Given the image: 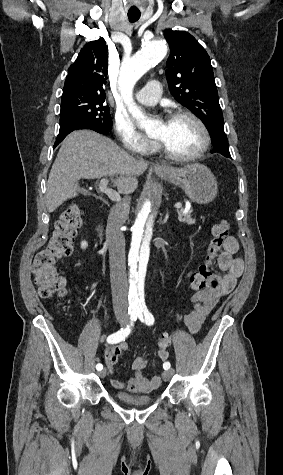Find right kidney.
<instances>
[{
  "label": "right kidney",
  "instance_id": "obj_1",
  "mask_svg": "<svg viewBox=\"0 0 283 475\" xmlns=\"http://www.w3.org/2000/svg\"><path fill=\"white\" fill-rule=\"evenodd\" d=\"M87 245H88L87 241H85V239H83V241H81L82 249H86Z\"/></svg>",
  "mask_w": 283,
  "mask_h": 475
}]
</instances>
